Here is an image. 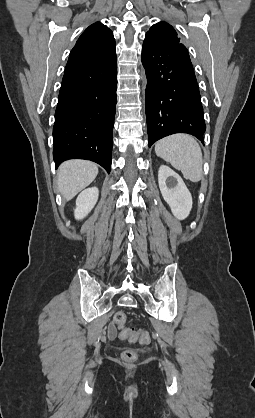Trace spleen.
<instances>
[{
    "label": "spleen",
    "mask_w": 255,
    "mask_h": 418,
    "mask_svg": "<svg viewBox=\"0 0 255 418\" xmlns=\"http://www.w3.org/2000/svg\"><path fill=\"white\" fill-rule=\"evenodd\" d=\"M155 153L181 171L184 178L192 182L202 179V151L191 135L179 133L167 136L156 142Z\"/></svg>",
    "instance_id": "obj_1"
}]
</instances>
